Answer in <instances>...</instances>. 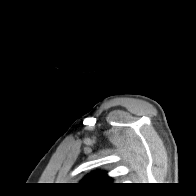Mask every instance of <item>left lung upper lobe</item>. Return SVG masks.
<instances>
[{
    "label": "left lung upper lobe",
    "instance_id": "left-lung-upper-lobe-1",
    "mask_svg": "<svg viewBox=\"0 0 196 196\" xmlns=\"http://www.w3.org/2000/svg\"><path fill=\"white\" fill-rule=\"evenodd\" d=\"M111 181V178L106 175L105 172H95L92 174H89L85 177L83 180V183H88L91 185H101V184H109Z\"/></svg>",
    "mask_w": 196,
    "mask_h": 196
}]
</instances>
